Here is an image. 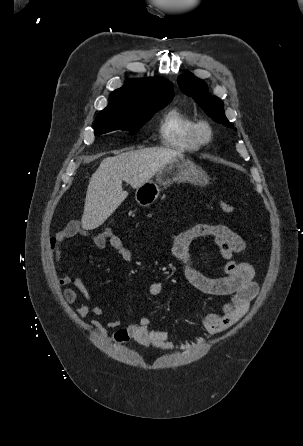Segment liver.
Here are the masks:
<instances>
[{
  "mask_svg": "<svg viewBox=\"0 0 303 446\" xmlns=\"http://www.w3.org/2000/svg\"><path fill=\"white\" fill-rule=\"evenodd\" d=\"M182 156L177 150L147 148L103 159L89 181L82 227L91 230L100 226L127 198L122 181L138 188L163 166Z\"/></svg>",
  "mask_w": 303,
  "mask_h": 446,
  "instance_id": "liver-1",
  "label": "liver"
}]
</instances>
